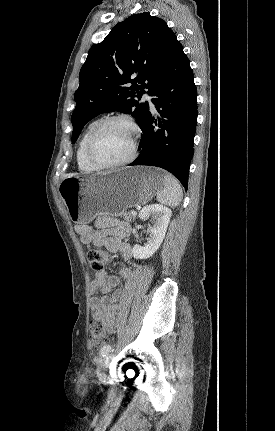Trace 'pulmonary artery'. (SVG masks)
Here are the masks:
<instances>
[{"mask_svg": "<svg viewBox=\"0 0 275 431\" xmlns=\"http://www.w3.org/2000/svg\"><path fill=\"white\" fill-rule=\"evenodd\" d=\"M143 100H145V101H147V102L149 103V106H150V108H151L152 110H154V109H155V107H154V105H153V103H152V100H151V96H149L148 94H144V96H143Z\"/></svg>", "mask_w": 275, "mask_h": 431, "instance_id": "1", "label": "pulmonary artery"}]
</instances>
